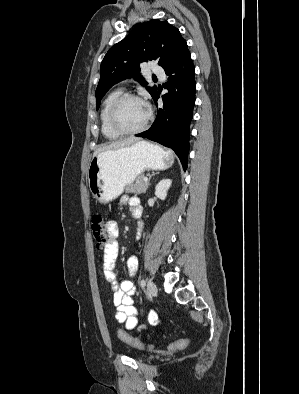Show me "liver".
I'll return each instance as SVG.
<instances>
[{"instance_id": "liver-1", "label": "liver", "mask_w": 299, "mask_h": 394, "mask_svg": "<svg viewBox=\"0 0 299 394\" xmlns=\"http://www.w3.org/2000/svg\"><path fill=\"white\" fill-rule=\"evenodd\" d=\"M139 139L138 138H134V137H130L121 141H115L110 143L109 145H103L98 147L95 151H94V156H96L97 154H99L100 152L103 151H107V150H113V149H118L121 147H126V146H130L136 142H138Z\"/></svg>"}]
</instances>
